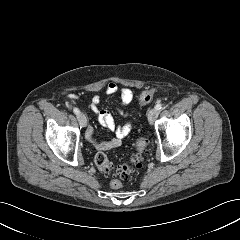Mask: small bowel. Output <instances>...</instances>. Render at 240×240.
Here are the masks:
<instances>
[{"mask_svg": "<svg viewBox=\"0 0 240 240\" xmlns=\"http://www.w3.org/2000/svg\"><path fill=\"white\" fill-rule=\"evenodd\" d=\"M105 92L108 95L119 94L122 106L129 105L133 100V91L130 88L119 86L114 82H109L106 85ZM72 97L74 99L77 98L76 95H73ZM100 102V96L94 95L90 101V109L97 115L99 123L114 133V137L107 141H99L94 137L93 127L89 126L86 131V138L98 150H109L117 148L121 145L122 139L131 132L132 124L128 122L125 124L117 125L113 115L108 110L100 108ZM119 112L122 115L127 114L122 108H119Z\"/></svg>", "mask_w": 240, "mask_h": 240, "instance_id": "c3829d8e", "label": "small bowel"}]
</instances>
